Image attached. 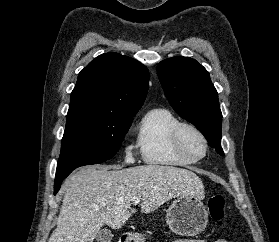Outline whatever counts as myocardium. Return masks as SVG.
<instances>
[{
  "label": "myocardium",
  "mask_w": 279,
  "mask_h": 242,
  "mask_svg": "<svg viewBox=\"0 0 279 242\" xmlns=\"http://www.w3.org/2000/svg\"><path fill=\"white\" fill-rule=\"evenodd\" d=\"M191 132L196 135L203 144V153L200 156L192 154L185 144V133ZM172 142L176 151L184 158L192 162H198L202 160L208 152L209 144L204 133L195 125L186 122H179L172 132Z\"/></svg>",
  "instance_id": "obj_1"
}]
</instances>
